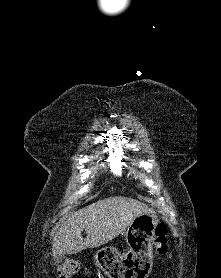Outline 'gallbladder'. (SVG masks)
<instances>
[{
	"label": "gallbladder",
	"mask_w": 221,
	"mask_h": 278,
	"mask_svg": "<svg viewBox=\"0 0 221 278\" xmlns=\"http://www.w3.org/2000/svg\"><path fill=\"white\" fill-rule=\"evenodd\" d=\"M66 259L65 255H58L55 257V263L59 264Z\"/></svg>",
	"instance_id": "obj_1"
}]
</instances>
